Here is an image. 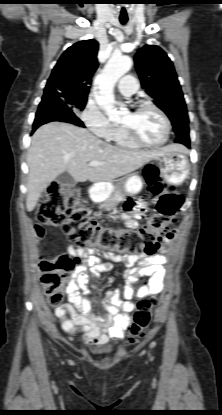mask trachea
<instances>
[{
    "label": "trachea",
    "mask_w": 222,
    "mask_h": 415,
    "mask_svg": "<svg viewBox=\"0 0 222 415\" xmlns=\"http://www.w3.org/2000/svg\"><path fill=\"white\" fill-rule=\"evenodd\" d=\"M127 19H120V23L122 24V25H125L126 23H127Z\"/></svg>",
    "instance_id": "3493384b"
}]
</instances>
